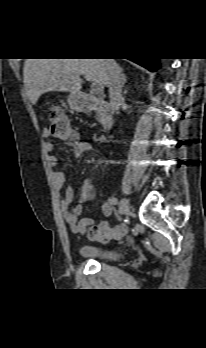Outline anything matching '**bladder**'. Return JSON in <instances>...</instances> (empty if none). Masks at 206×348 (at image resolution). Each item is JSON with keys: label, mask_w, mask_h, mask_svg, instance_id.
<instances>
[{"label": "bladder", "mask_w": 206, "mask_h": 348, "mask_svg": "<svg viewBox=\"0 0 206 348\" xmlns=\"http://www.w3.org/2000/svg\"><path fill=\"white\" fill-rule=\"evenodd\" d=\"M121 254L122 252L116 248H99L83 245L78 249V255L85 259H113Z\"/></svg>", "instance_id": "bladder-1"}]
</instances>
